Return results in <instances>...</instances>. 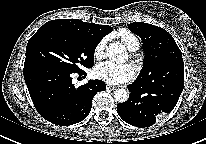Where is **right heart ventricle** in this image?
Returning a JSON list of instances; mask_svg holds the SVG:
<instances>
[{
  "instance_id": "e07e8e85",
  "label": "right heart ventricle",
  "mask_w": 206,
  "mask_h": 144,
  "mask_svg": "<svg viewBox=\"0 0 206 144\" xmlns=\"http://www.w3.org/2000/svg\"><path fill=\"white\" fill-rule=\"evenodd\" d=\"M117 37L130 51H136L140 42L135 34L127 29H121L115 33Z\"/></svg>"
}]
</instances>
